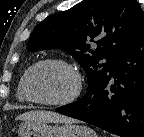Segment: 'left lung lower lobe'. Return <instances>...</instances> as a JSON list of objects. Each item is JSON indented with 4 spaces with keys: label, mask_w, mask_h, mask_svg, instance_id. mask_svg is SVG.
<instances>
[{
    "label": "left lung lower lobe",
    "mask_w": 144,
    "mask_h": 137,
    "mask_svg": "<svg viewBox=\"0 0 144 137\" xmlns=\"http://www.w3.org/2000/svg\"><path fill=\"white\" fill-rule=\"evenodd\" d=\"M56 111L122 137H144V26L94 89Z\"/></svg>",
    "instance_id": "left-lung-lower-lobe-1"
}]
</instances>
